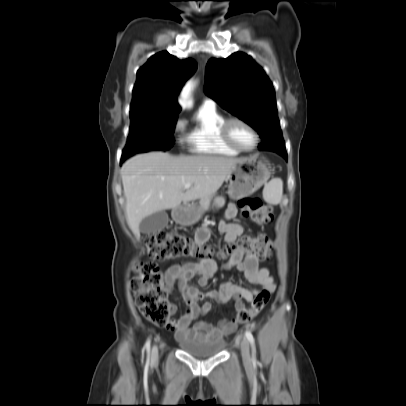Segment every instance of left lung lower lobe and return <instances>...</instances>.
<instances>
[{"instance_id": "left-lung-lower-lobe-1", "label": "left lung lower lobe", "mask_w": 406, "mask_h": 406, "mask_svg": "<svg viewBox=\"0 0 406 406\" xmlns=\"http://www.w3.org/2000/svg\"><path fill=\"white\" fill-rule=\"evenodd\" d=\"M282 156H284V157H285V159L287 160V154H285V155H282Z\"/></svg>"}]
</instances>
